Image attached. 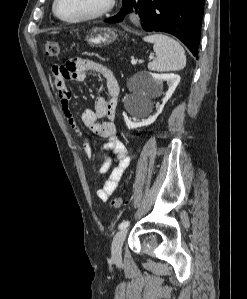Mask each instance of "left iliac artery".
Wrapping results in <instances>:
<instances>
[{
    "instance_id": "left-iliac-artery-1",
    "label": "left iliac artery",
    "mask_w": 247,
    "mask_h": 299,
    "mask_svg": "<svg viewBox=\"0 0 247 299\" xmlns=\"http://www.w3.org/2000/svg\"><path fill=\"white\" fill-rule=\"evenodd\" d=\"M129 225V221L126 220V221H123L120 223V225L118 226L119 229H122V228H125Z\"/></svg>"
}]
</instances>
